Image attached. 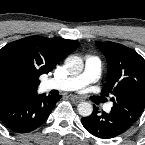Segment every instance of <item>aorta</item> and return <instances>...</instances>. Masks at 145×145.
Masks as SVG:
<instances>
[{
  "label": "aorta",
  "instance_id": "aorta-1",
  "mask_svg": "<svg viewBox=\"0 0 145 145\" xmlns=\"http://www.w3.org/2000/svg\"><path fill=\"white\" fill-rule=\"evenodd\" d=\"M66 67L70 74L78 75L83 71L84 64L80 57L72 56L66 60ZM77 110L83 117L90 116L93 112V107L89 102H81L78 104Z\"/></svg>",
  "mask_w": 145,
  "mask_h": 145
}]
</instances>
